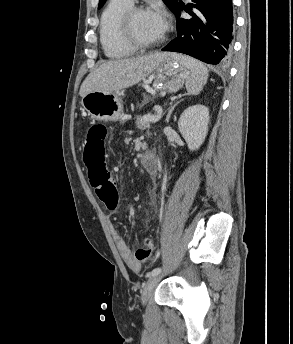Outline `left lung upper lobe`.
Listing matches in <instances>:
<instances>
[{
    "label": "left lung upper lobe",
    "mask_w": 293,
    "mask_h": 344,
    "mask_svg": "<svg viewBox=\"0 0 293 344\" xmlns=\"http://www.w3.org/2000/svg\"><path fill=\"white\" fill-rule=\"evenodd\" d=\"M106 0H99V6L98 8L100 9ZM163 2L170 8L171 11L174 10L175 6L177 5V0H163Z\"/></svg>",
    "instance_id": "obj_1"
}]
</instances>
